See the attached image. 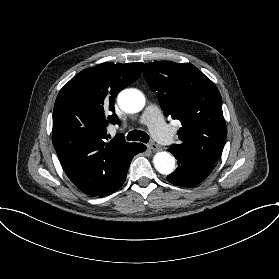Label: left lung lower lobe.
<instances>
[{
  "instance_id": "0a47b994",
  "label": "left lung lower lobe",
  "mask_w": 279,
  "mask_h": 279,
  "mask_svg": "<svg viewBox=\"0 0 279 279\" xmlns=\"http://www.w3.org/2000/svg\"><path fill=\"white\" fill-rule=\"evenodd\" d=\"M178 160V168L167 176L170 183L177 186L193 187L205 180L214 168V163L184 155L177 150L169 148Z\"/></svg>"
}]
</instances>
